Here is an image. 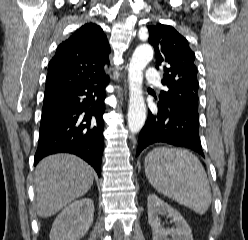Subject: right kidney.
<instances>
[{"instance_id":"right-kidney-1","label":"right kidney","mask_w":248,"mask_h":240,"mask_svg":"<svg viewBox=\"0 0 248 240\" xmlns=\"http://www.w3.org/2000/svg\"><path fill=\"white\" fill-rule=\"evenodd\" d=\"M94 202L83 198L69 204L56 217L50 240H80L93 223Z\"/></svg>"}]
</instances>
